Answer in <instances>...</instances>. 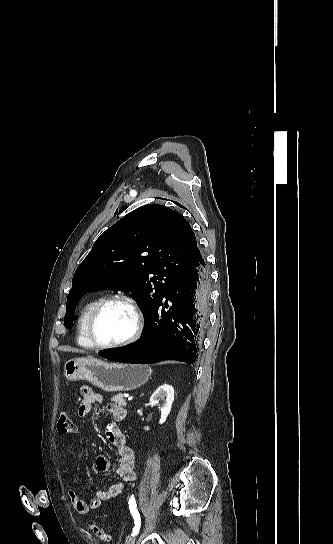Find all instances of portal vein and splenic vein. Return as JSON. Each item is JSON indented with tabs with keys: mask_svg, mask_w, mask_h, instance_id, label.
Instances as JSON below:
<instances>
[{
	"mask_svg": "<svg viewBox=\"0 0 333 544\" xmlns=\"http://www.w3.org/2000/svg\"><path fill=\"white\" fill-rule=\"evenodd\" d=\"M124 397H125V398H129V394H124Z\"/></svg>",
	"mask_w": 333,
	"mask_h": 544,
	"instance_id": "obj_1",
	"label": "portal vein and splenic vein"
}]
</instances>
